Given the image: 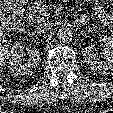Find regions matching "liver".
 I'll return each mask as SVG.
<instances>
[{"mask_svg":"<svg viewBox=\"0 0 113 113\" xmlns=\"http://www.w3.org/2000/svg\"><path fill=\"white\" fill-rule=\"evenodd\" d=\"M8 29V22L2 16V9L0 7V73L2 72V67L6 64V61L11 55V52L8 51L7 41L3 35V32Z\"/></svg>","mask_w":113,"mask_h":113,"instance_id":"obj_1","label":"liver"}]
</instances>
